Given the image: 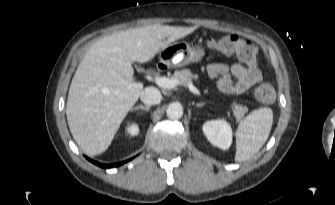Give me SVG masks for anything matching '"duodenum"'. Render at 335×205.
<instances>
[{
  "label": "duodenum",
  "instance_id": "duodenum-1",
  "mask_svg": "<svg viewBox=\"0 0 335 205\" xmlns=\"http://www.w3.org/2000/svg\"><path fill=\"white\" fill-rule=\"evenodd\" d=\"M157 69H158L159 71H163V70H165V69H166V65H165V63H163V62H159V63L157 64Z\"/></svg>",
  "mask_w": 335,
  "mask_h": 205
}]
</instances>
